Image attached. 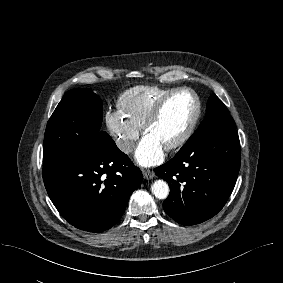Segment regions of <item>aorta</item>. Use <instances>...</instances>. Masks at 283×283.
I'll list each match as a JSON object with an SVG mask.
<instances>
[{"mask_svg": "<svg viewBox=\"0 0 283 283\" xmlns=\"http://www.w3.org/2000/svg\"><path fill=\"white\" fill-rule=\"evenodd\" d=\"M153 195L158 199H166L169 195V186L164 180H157L151 186Z\"/></svg>", "mask_w": 283, "mask_h": 283, "instance_id": "aorta-1", "label": "aorta"}]
</instances>
